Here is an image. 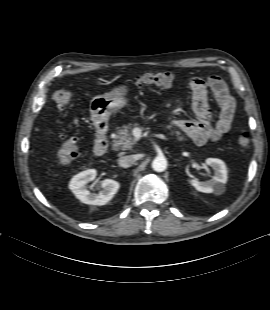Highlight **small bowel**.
I'll list each match as a JSON object with an SVG mask.
<instances>
[{
	"label": "small bowel",
	"mask_w": 270,
	"mask_h": 310,
	"mask_svg": "<svg viewBox=\"0 0 270 310\" xmlns=\"http://www.w3.org/2000/svg\"><path fill=\"white\" fill-rule=\"evenodd\" d=\"M188 85L192 92L195 119L176 121L173 125L198 146L220 139L230 130L235 112V101L226 83L213 75L207 79L192 77ZM208 91L212 92L219 106V116L214 121L208 108Z\"/></svg>",
	"instance_id": "c3829d8e"
}]
</instances>
